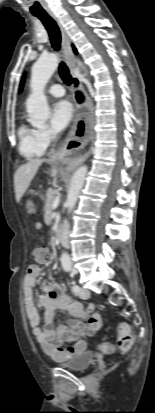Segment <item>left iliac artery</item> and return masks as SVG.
Listing matches in <instances>:
<instances>
[{"label":"left iliac artery","instance_id":"left-iliac-artery-1","mask_svg":"<svg viewBox=\"0 0 155 413\" xmlns=\"http://www.w3.org/2000/svg\"><path fill=\"white\" fill-rule=\"evenodd\" d=\"M74 274L75 273L73 271H71V276H74ZM72 291L77 294L80 291V287L78 285H74L72 287Z\"/></svg>","mask_w":155,"mask_h":413}]
</instances>
